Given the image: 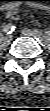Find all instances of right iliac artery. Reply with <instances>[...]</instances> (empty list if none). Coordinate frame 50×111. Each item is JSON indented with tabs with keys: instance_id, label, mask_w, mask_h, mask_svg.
Listing matches in <instances>:
<instances>
[{
	"instance_id": "82829eb1",
	"label": "right iliac artery",
	"mask_w": 50,
	"mask_h": 111,
	"mask_svg": "<svg viewBox=\"0 0 50 111\" xmlns=\"http://www.w3.org/2000/svg\"><path fill=\"white\" fill-rule=\"evenodd\" d=\"M15 26L13 24H8L6 25L4 28H3V32L4 33H7V34H10L12 33L14 30H15Z\"/></svg>"
}]
</instances>
